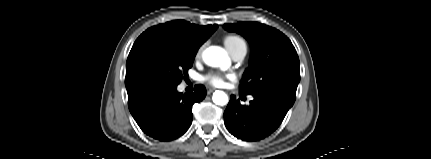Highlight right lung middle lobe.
Here are the masks:
<instances>
[{
	"label": "right lung middle lobe",
	"instance_id": "right-lung-middle-lobe-1",
	"mask_svg": "<svg viewBox=\"0 0 431 159\" xmlns=\"http://www.w3.org/2000/svg\"><path fill=\"white\" fill-rule=\"evenodd\" d=\"M197 50L160 39L134 43L128 59L133 77L146 86L178 85L192 67Z\"/></svg>",
	"mask_w": 431,
	"mask_h": 159
}]
</instances>
